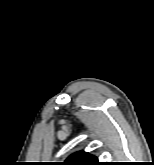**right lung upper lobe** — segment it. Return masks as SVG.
<instances>
[{
	"mask_svg": "<svg viewBox=\"0 0 154 165\" xmlns=\"http://www.w3.org/2000/svg\"><path fill=\"white\" fill-rule=\"evenodd\" d=\"M64 163L66 165H100L95 156L84 151L72 154Z\"/></svg>",
	"mask_w": 154,
	"mask_h": 165,
	"instance_id": "obj_1",
	"label": "right lung upper lobe"
}]
</instances>
